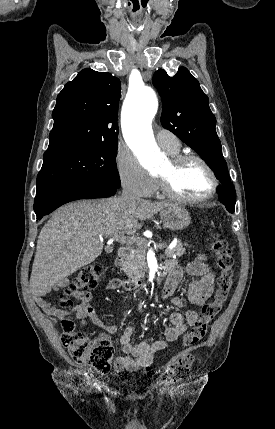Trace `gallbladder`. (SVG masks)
Wrapping results in <instances>:
<instances>
[{
    "label": "gallbladder",
    "instance_id": "gallbladder-1",
    "mask_svg": "<svg viewBox=\"0 0 275 429\" xmlns=\"http://www.w3.org/2000/svg\"><path fill=\"white\" fill-rule=\"evenodd\" d=\"M106 251L108 252V251H110V249H106Z\"/></svg>",
    "mask_w": 275,
    "mask_h": 429
}]
</instances>
